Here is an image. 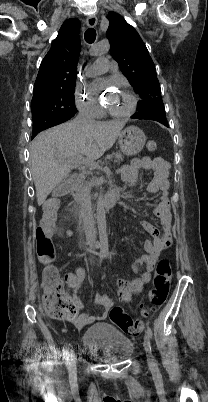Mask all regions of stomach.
<instances>
[{
  "label": "stomach",
  "instance_id": "stomach-1",
  "mask_svg": "<svg viewBox=\"0 0 208 402\" xmlns=\"http://www.w3.org/2000/svg\"><path fill=\"white\" fill-rule=\"evenodd\" d=\"M144 132L136 126H129L119 136V146L125 156H136L145 146Z\"/></svg>",
  "mask_w": 208,
  "mask_h": 402
}]
</instances>
